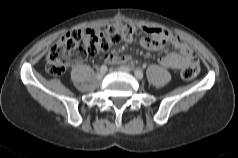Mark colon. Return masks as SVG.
Here are the masks:
<instances>
[{
  "instance_id": "obj_1",
  "label": "colon",
  "mask_w": 238,
  "mask_h": 158,
  "mask_svg": "<svg viewBox=\"0 0 238 158\" xmlns=\"http://www.w3.org/2000/svg\"><path fill=\"white\" fill-rule=\"evenodd\" d=\"M133 34V27L123 23L97 29L71 30L51 47L46 58V71L52 76H60L71 63L105 52L111 45L128 40ZM198 72V65L186 66L181 71V77L184 80H192Z\"/></svg>"
}]
</instances>
